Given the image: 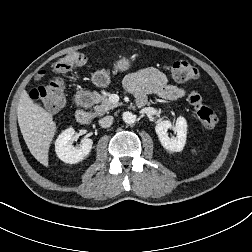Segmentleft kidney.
<instances>
[{
    "label": "left kidney",
    "instance_id": "5707ae66",
    "mask_svg": "<svg viewBox=\"0 0 252 252\" xmlns=\"http://www.w3.org/2000/svg\"><path fill=\"white\" fill-rule=\"evenodd\" d=\"M173 129L175 137L168 136V130ZM161 145L168 151L180 152L186 143L187 122L184 117H178L175 126L168 120L159 122L155 127Z\"/></svg>",
    "mask_w": 252,
    "mask_h": 252
}]
</instances>
